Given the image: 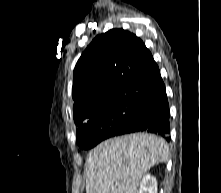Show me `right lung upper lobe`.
I'll return each instance as SVG.
<instances>
[{"label": "right lung upper lobe", "mask_w": 221, "mask_h": 193, "mask_svg": "<svg viewBox=\"0 0 221 193\" xmlns=\"http://www.w3.org/2000/svg\"><path fill=\"white\" fill-rule=\"evenodd\" d=\"M160 79L152 54L136 35L112 29L96 36L74 69L75 123L114 101L146 100Z\"/></svg>", "instance_id": "right-lung-upper-lobe-1"}]
</instances>
